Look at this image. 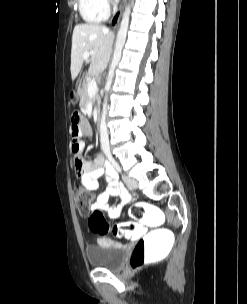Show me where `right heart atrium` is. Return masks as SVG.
<instances>
[{
  "mask_svg": "<svg viewBox=\"0 0 247 304\" xmlns=\"http://www.w3.org/2000/svg\"><path fill=\"white\" fill-rule=\"evenodd\" d=\"M102 3L106 8H108L111 3V0H102Z\"/></svg>",
  "mask_w": 247,
  "mask_h": 304,
  "instance_id": "d8ad5b80",
  "label": "right heart atrium"
}]
</instances>
